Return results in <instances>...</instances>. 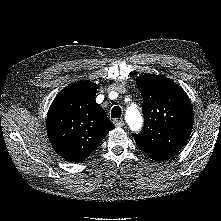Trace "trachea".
<instances>
[{
	"instance_id": "1",
	"label": "trachea",
	"mask_w": 221,
	"mask_h": 221,
	"mask_svg": "<svg viewBox=\"0 0 221 221\" xmlns=\"http://www.w3.org/2000/svg\"><path fill=\"white\" fill-rule=\"evenodd\" d=\"M122 114V110L119 106H115L111 110V117L112 118H120Z\"/></svg>"
}]
</instances>
